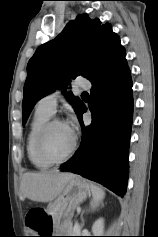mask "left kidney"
I'll return each mask as SVG.
<instances>
[{
	"mask_svg": "<svg viewBox=\"0 0 158 237\" xmlns=\"http://www.w3.org/2000/svg\"><path fill=\"white\" fill-rule=\"evenodd\" d=\"M104 229V220L102 218L95 221L92 226V232L94 236H102Z\"/></svg>",
	"mask_w": 158,
	"mask_h": 237,
	"instance_id": "left-kidney-1",
	"label": "left kidney"
}]
</instances>
